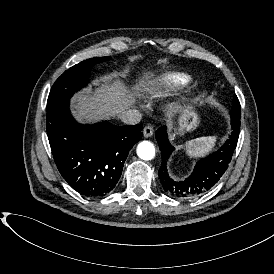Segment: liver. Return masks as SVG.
I'll return each instance as SVG.
<instances>
[{
    "label": "liver",
    "instance_id": "liver-1",
    "mask_svg": "<svg viewBox=\"0 0 274 274\" xmlns=\"http://www.w3.org/2000/svg\"><path fill=\"white\" fill-rule=\"evenodd\" d=\"M149 78L150 76H146L147 81L140 82L132 92L127 90L115 72L95 79L92 82L94 90L89 88L72 97V114L79 123H94L117 117L134 107L141 87L150 93L155 91L157 83L148 81Z\"/></svg>",
    "mask_w": 274,
    "mask_h": 274
}]
</instances>
